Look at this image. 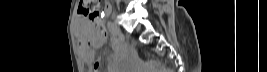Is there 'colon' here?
Here are the masks:
<instances>
[{"label":"colon","instance_id":"1","mask_svg":"<svg viewBox=\"0 0 267 72\" xmlns=\"http://www.w3.org/2000/svg\"><path fill=\"white\" fill-rule=\"evenodd\" d=\"M102 0H80V9L83 13L89 15L91 26L99 30L98 36L103 31L100 24V5ZM94 71H98V64H94ZM160 72H168V69H161Z\"/></svg>","mask_w":267,"mask_h":72}]
</instances>
